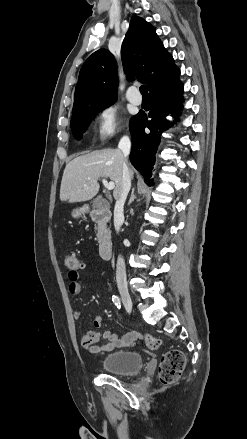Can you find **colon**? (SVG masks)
<instances>
[{"label": "colon", "mask_w": 247, "mask_h": 439, "mask_svg": "<svg viewBox=\"0 0 247 439\" xmlns=\"http://www.w3.org/2000/svg\"><path fill=\"white\" fill-rule=\"evenodd\" d=\"M65 265L70 270H80L83 268V263L74 255L67 254L64 257ZM144 341L147 347L151 350L160 348L162 341L152 335H145ZM186 359L182 351L172 349L167 351L159 364L158 374L159 380L163 385H171L175 383L185 367Z\"/></svg>", "instance_id": "1"}]
</instances>
